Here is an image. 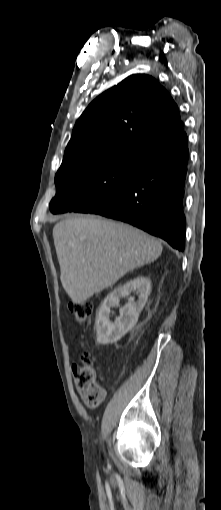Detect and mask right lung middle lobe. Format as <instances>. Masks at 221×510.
<instances>
[{"mask_svg":"<svg viewBox=\"0 0 221 510\" xmlns=\"http://www.w3.org/2000/svg\"><path fill=\"white\" fill-rule=\"evenodd\" d=\"M148 152L128 146L62 162L55 176L57 192L50 211L56 214L82 210L110 201L130 183Z\"/></svg>","mask_w":221,"mask_h":510,"instance_id":"obj_1","label":"right lung middle lobe"}]
</instances>
